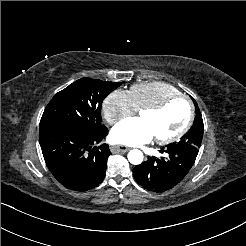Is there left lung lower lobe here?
<instances>
[{
  "label": "left lung lower lobe",
  "instance_id": "obj_1",
  "mask_svg": "<svg viewBox=\"0 0 246 246\" xmlns=\"http://www.w3.org/2000/svg\"><path fill=\"white\" fill-rule=\"evenodd\" d=\"M165 157L154 156L133 169L135 180L144 188L164 192L176 186L189 172L198 154L190 144H169L162 147Z\"/></svg>",
  "mask_w": 246,
  "mask_h": 246
}]
</instances>
